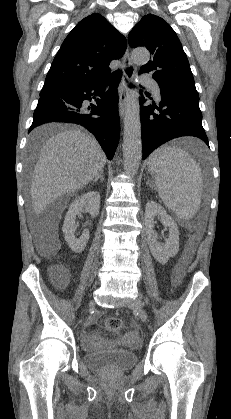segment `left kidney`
Returning <instances> with one entry per match:
<instances>
[{
    "label": "left kidney",
    "mask_w": 231,
    "mask_h": 419,
    "mask_svg": "<svg viewBox=\"0 0 231 419\" xmlns=\"http://www.w3.org/2000/svg\"><path fill=\"white\" fill-rule=\"evenodd\" d=\"M158 217L165 227L169 228V236L165 243L157 241L158 235L153 230L155 218ZM145 226L147 241L152 256L160 263H166L179 251V230L176 222L167 214L165 209L154 201H149L145 207Z\"/></svg>",
    "instance_id": "obj_1"
}]
</instances>
